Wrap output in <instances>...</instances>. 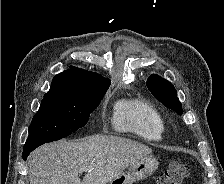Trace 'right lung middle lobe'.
I'll return each instance as SVG.
<instances>
[{
  "label": "right lung middle lobe",
  "mask_w": 224,
  "mask_h": 184,
  "mask_svg": "<svg viewBox=\"0 0 224 184\" xmlns=\"http://www.w3.org/2000/svg\"><path fill=\"white\" fill-rule=\"evenodd\" d=\"M107 89L79 97H44L32 119L24 148L35 149L44 143L62 139L85 126Z\"/></svg>",
  "instance_id": "right-lung-middle-lobe-1"
}]
</instances>
